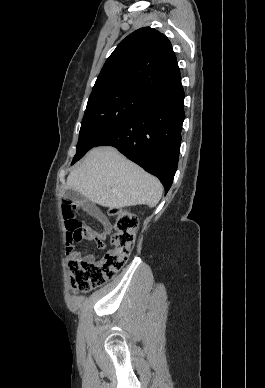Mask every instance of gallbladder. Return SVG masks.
<instances>
[{
  "instance_id": "gallbladder-1",
  "label": "gallbladder",
  "mask_w": 265,
  "mask_h": 388,
  "mask_svg": "<svg viewBox=\"0 0 265 388\" xmlns=\"http://www.w3.org/2000/svg\"><path fill=\"white\" fill-rule=\"evenodd\" d=\"M64 198L71 200L73 204H83L84 202V196L80 192H75V190H66Z\"/></svg>"
}]
</instances>
